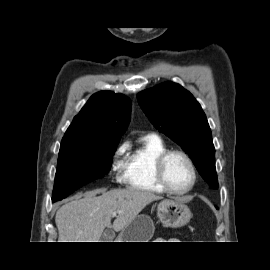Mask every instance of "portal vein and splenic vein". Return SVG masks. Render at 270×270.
<instances>
[{
    "mask_svg": "<svg viewBox=\"0 0 270 270\" xmlns=\"http://www.w3.org/2000/svg\"><path fill=\"white\" fill-rule=\"evenodd\" d=\"M112 215H113V216H116V215H117V211H114V212L112 213Z\"/></svg>",
    "mask_w": 270,
    "mask_h": 270,
    "instance_id": "obj_1",
    "label": "portal vein and splenic vein"
}]
</instances>
